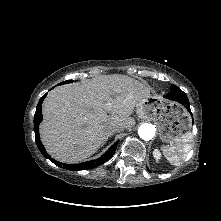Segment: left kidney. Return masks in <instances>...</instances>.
<instances>
[{"mask_svg": "<svg viewBox=\"0 0 221 221\" xmlns=\"http://www.w3.org/2000/svg\"><path fill=\"white\" fill-rule=\"evenodd\" d=\"M153 156L156 159V161L158 162L161 159V152L159 149H155L153 151Z\"/></svg>", "mask_w": 221, "mask_h": 221, "instance_id": "5707ae66", "label": "left kidney"}]
</instances>
